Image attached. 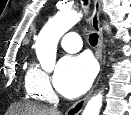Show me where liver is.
<instances>
[{"label":"liver","mask_w":131,"mask_h":115,"mask_svg":"<svg viewBox=\"0 0 131 115\" xmlns=\"http://www.w3.org/2000/svg\"><path fill=\"white\" fill-rule=\"evenodd\" d=\"M9 115H61L59 111L33 104H14L9 109Z\"/></svg>","instance_id":"liver-1"}]
</instances>
